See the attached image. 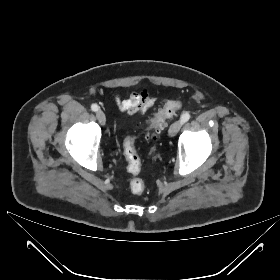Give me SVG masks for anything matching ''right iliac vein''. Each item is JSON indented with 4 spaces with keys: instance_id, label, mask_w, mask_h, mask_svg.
<instances>
[{
    "instance_id": "63e3f726",
    "label": "right iliac vein",
    "mask_w": 280,
    "mask_h": 280,
    "mask_svg": "<svg viewBox=\"0 0 280 280\" xmlns=\"http://www.w3.org/2000/svg\"><path fill=\"white\" fill-rule=\"evenodd\" d=\"M96 117H97V119H98V121H99V123H100L101 125H105L106 117H105V114H104L103 111L98 110V111L96 112Z\"/></svg>"
}]
</instances>
